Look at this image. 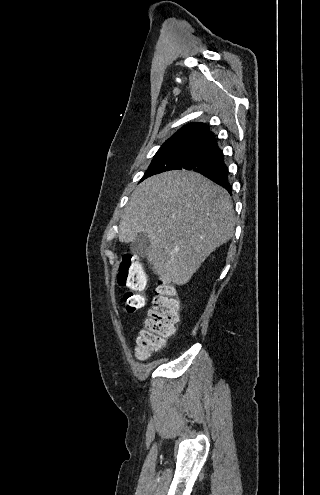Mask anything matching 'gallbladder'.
<instances>
[{"label": "gallbladder", "mask_w": 320, "mask_h": 495, "mask_svg": "<svg viewBox=\"0 0 320 495\" xmlns=\"http://www.w3.org/2000/svg\"><path fill=\"white\" fill-rule=\"evenodd\" d=\"M150 246V239L143 232L138 233L136 238L130 243V250L132 253L146 256L147 249Z\"/></svg>", "instance_id": "bac80fb5"}]
</instances>
